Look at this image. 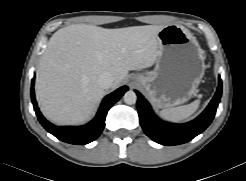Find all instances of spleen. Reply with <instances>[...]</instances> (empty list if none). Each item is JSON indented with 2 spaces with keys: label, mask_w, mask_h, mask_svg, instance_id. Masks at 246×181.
Instances as JSON below:
<instances>
[{
  "label": "spleen",
  "mask_w": 246,
  "mask_h": 181,
  "mask_svg": "<svg viewBox=\"0 0 246 181\" xmlns=\"http://www.w3.org/2000/svg\"><path fill=\"white\" fill-rule=\"evenodd\" d=\"M200 105V100H195L190 104L163 109L161 116L171 122H180L189 118L196 112Z\"/></svg>",
  "instance_id": "3e777b00"
}]
</instances>
